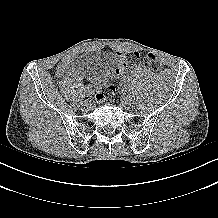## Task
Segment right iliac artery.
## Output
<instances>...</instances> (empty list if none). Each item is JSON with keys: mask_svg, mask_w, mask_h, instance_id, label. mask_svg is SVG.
I'll return each instance as SVG.
<instances>
[{"mask_svg": "<svg viewBox=\"0 0 218 218\" xmlns=\"http://www.w3.org/2000/svg\"><path fill=\"white\" fill-rule=\"evenodd\" d=\"M86 95H89L90 97L94 96V93L91 92V90H85Z\"/></svg>", "mask_w": 218, "mask_h": 218, "instance_id": "82829eb1", "label": "right iliac artery"}]
</instances>
